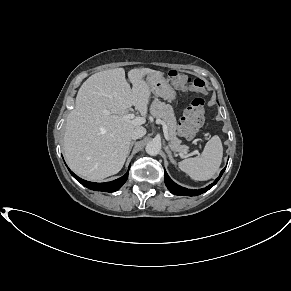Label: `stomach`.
<instances>
[{
  "instance_id": "0dacf381",
  "label": "stomach",
  "mask_w": 291,
  "mask_h": 291,
  "mask_svg": "<svg viewBox=\"0 0 291 291\" xmlns=\"http://www.w3.org/2000/svg\"><path fill=\"white\" fill-rule=\"evenodd\" d=\"M147 83L151 92L156 97H161L168 101H173L176 98L174 89L169 84V81L165 79L162 73H155L147 77Z\"/></svg>"
}]
</instances>
